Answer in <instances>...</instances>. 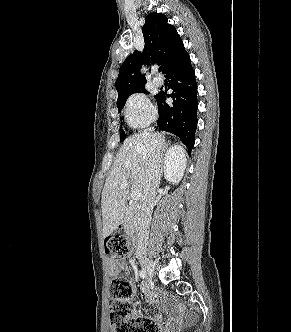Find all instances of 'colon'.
Listing matches in <instances>:
<instances>
[{
    "mask_svg": "<svg viewBox=\"0 0 291 332\" xmlns=\"http://www.w3.org/2000/svg\"><path fill=\"white\" fill-rule=\"evenodd\" d=\"M106 252L115 257H126L131 243L125 234H115L105 239ZM131 283L115 277L110 283L111 332H159L158 323L147 317H134Z\"/></svg>",
    "mask_w": 291,
    "mask_h": 332,
    "instance_id": "5ec220e1",
    "label": "colon"
}]
</instances>
